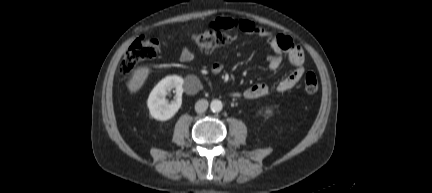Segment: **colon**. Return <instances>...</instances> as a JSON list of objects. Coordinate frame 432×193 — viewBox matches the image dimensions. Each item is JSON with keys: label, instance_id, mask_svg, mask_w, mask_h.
<instances>
[{"label": "colon", "instance_id": "5ec220e1", "mask_svg": "<svg viewBox=\"0 0 432 193\" xmlns=\"http://www.w3.org/2000/svg\"><path fill=\"white\" fill-rule=\"evenodd\" d=\"M226 29L217 23L206 26L201 33L192 36L193 41L204 51L212 53L223 46L228 37ZM162 48V43L153 38L141 36L136 39L125 52L120 64L119 72L127 75L133 71L135 66L144 60L154 59ZM318 79L313 72H308L304 77V89L313 94L318 90Z\"/></svg>", "mask_w": 432, "mask_h": 193}]
</instances>
